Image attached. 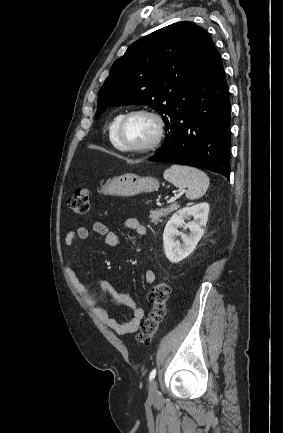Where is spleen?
Wrapping results in <instances>:
<instances>
[{
    "instance_id": "spleen-1",
    "label": "spleen",
    "mask_w": 283,
    "mask_h": 433,
    "mask_svg": "<svg viewBox=\"0 0 283 433\" xmlns=\"http://www.w3.org/2000/svg\"><path fill=\"white\" fill-rule=\"evenodd\" d=\"M164 178L178 188L187 186L186 196L191 200L203 196L210 186L209 176L203 170L194 166H183V164H171L170 168L164 170Z\"/></svg>"
}]
</instances>
